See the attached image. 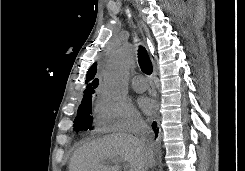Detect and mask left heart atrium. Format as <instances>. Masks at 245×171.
<instances>
[{"label": "left heart atrium", "instance_id": "left-heart-atrium-1", "mask_svg": "<svg viewBox=\"0 0 245 171\" xmlns=\"http://www.w3.org/2000/svg\"><path fill=\"white\" fill-rule=\"evenodd\" d=\"M140 108L147 114H150L155 109V102L148 97H140L138 100Z\"/></svg>", "mask_w": 245, "mask_h": 171}]
</instances>
